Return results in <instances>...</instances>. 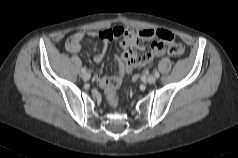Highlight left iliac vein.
Returning a JSON list of instances; mask_svg holds the SVG:
<instances>
[{
    "label": "left iliac vein",
    "instance_id": "4c4485c4",
    "mask_svg": "<svg viewBox=\"0 0 238 158\" xmlns=\"http://www.w3.org/2000/svg\"><path fill=\"white\" fill-rule=\"evenodd\" d=\"M147 82H148L149 84L155 83V82H156V76H154V75L148 76Z\"/></svg>",
    "mask_w": 238,
    "mask_h": 158
}]
</instances>
